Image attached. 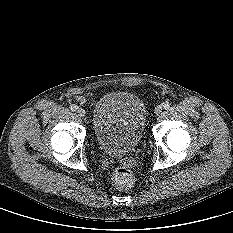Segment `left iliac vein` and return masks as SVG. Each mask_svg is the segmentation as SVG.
<instances>
[{
  "label": "left iliac vein",
  "instance_id": "1",
  "mask_svg": "<svg viewBox=\"0 0 233 233\" xmlns=\"http://www.w3.org/2000/svg\"><path fill=\"white\" fill-rule=\"evenodd\" d=\"M163 110V107L161 105L157 106L154 110L155 114H160Z\"/></svg>",
  "mask_w": 233,
  "mask_h": 233
}]
</instances>
